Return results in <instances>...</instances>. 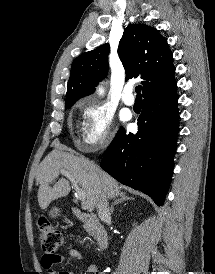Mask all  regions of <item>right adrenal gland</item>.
Instances as JSON below:
<instances>
[{"label":"right adrenal gland","mask_w":215,"mask_h":274,"mask_svg":"<svg viewBox=\"0 0 215 274\" xmlns=\"http://www.w3.org/2000/svg\"><path fill=\"white\" fill-rule=\"evenodd\" d=\"M127 200H131V198L127 197V196L125 195V193H121V194L119 195V198L116 199V200L114 201V203L111 205L110 213L113 214L114 206H115V205H117V204H119V203H122V202H124V201H127Z\"/></svg>","instance_id":"2a0ac1e0"}]
</instances>
